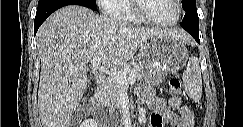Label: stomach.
Segmentation results:
<instances>
[{"mask_svg":"<svg viewBox=\"0 0 243 127\" xmlns=\"http://www.w3.org/2000/svg\"><path fill=\"white\" fill-rule=\"evenodd\" d=\"M188 57L186 47L167 35L151 37L138 54L139 65L147 72L145 79L154 85H160L168 74L182 69Z\"/></svg>","mask_w":243,"mask_h":127,"instance_id":"stomach-1","label":"stomach"}]
</instances>
